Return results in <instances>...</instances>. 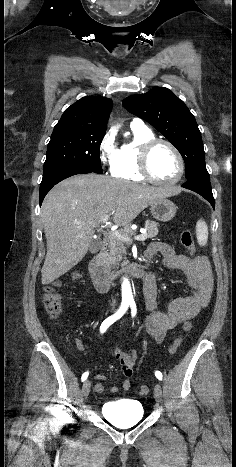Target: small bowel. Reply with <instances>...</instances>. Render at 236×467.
Returning a JSON list of instances; mask_svg holds the SVG:
<instances>
[{
  "instance_id": "c3829d8e",
  "label": "small bowel",
  "mask_w": 236,
  "mask_h": 467,
  "mask_svg": "<svg viewBox=\"0 0 236 467\" xmlns=\"http://www.w3.org/2000/svg\"><path fill=\"white\" fill-rule=\"evenodd\" d=\"M157 255L161 256V266L168 269H179L187 277L192 293L187 296L175 298L170 301L165 312L156 310L157 306V286L155 276L145 280L144 297L148 315L144 321L145 332L155 341L161 342L168 331L174 329L179 324L194 318L204 308H206L212 298L214 279L209 260L202 255L188 257L178 255L168 244L161 241L152 242L145 252L147 261L153 260ZM78 348L83 350V345L78 343ZM115 358L120 364L122 374L127 378L123 381L121 388L128 391L131 388L129 378L133 374V367L138 358V352L135 349L120 350L115 349ZM99 383L95 385V391L102 393L108 390L111 393H117L119 388L111 386L106 388L102 383L107 379L105 375H98Z\"/></svg>"
}]
</instances>
